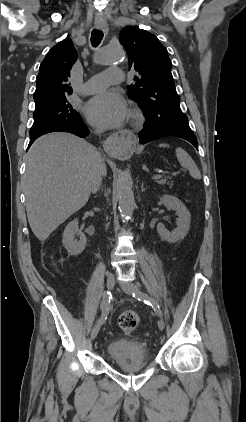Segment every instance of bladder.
<instances>
[{
    "instance_id": "1",
    "label": "bladder",
    "mask_w": 246,
    "mask_h": 422,
    "mask_svg": "<svg viewBox=\"0 0 246 422\" xmlns=\"http://www.w3.org/2000/svg\"><path fill=\"white\" fill-rule=\"evenodd\" d=\"M107 354L117 365L146 363L149 359L147 347L142 342L133 339L110 341L107 345Z\"/></svg>"
}]
</instances>
